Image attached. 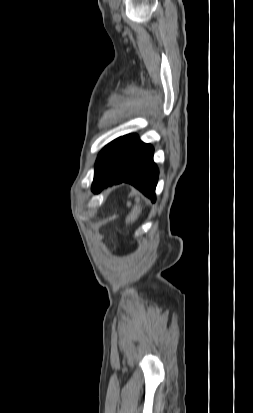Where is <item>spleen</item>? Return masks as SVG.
Listing matches in <instances>:
<instances>
[{
	"label": "spleen",
	"mask_w": 253,
	"mask_h": 413,
	"mask_svg": "<svg viewBox=\"0 0 253 413\" xmlns=\"http://www.w3.org/2000/svg\"><path fill=\"white\" fill-rule=\"evenodd\" d=\"M142 211V207L140 205L139 202H137L134 207L132 208L131 212L129 213V215L126 218V224H130L135 222V220H137L138 216L140 215Z\"/></svg>",
	"instance_id": "3e777b00"
}]
</instances>
